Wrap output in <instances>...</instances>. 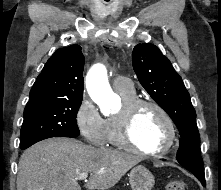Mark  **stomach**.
Listing matches in <instances>:
<instances>
[{"label": "stomach", "mask_w": 221, "mask_h": 190, "mask_svg": "<svg viewBox=\"0 0 221 190\" xmlns=\"http://www.w3.org/2000/svg\"><path fill=\"white\" fill-rule=\"evenodd\" d=\"M128 176L132 190H151L155 184L153 174L142 165L134 167Z\"/></svg>", "instance_id": "obj_1"}]
</instances>
